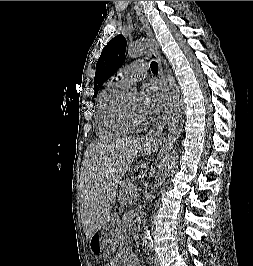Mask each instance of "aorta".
Wrapping results in <instances>:
<instances>
[{
    "instance_id": "1",
    "label": "aorta",
    "mask_w": 253,
    "mask_h": 266,
    "mask_svg": "<svg viewBox=\"0 0 253 266\" xmlns=\"http://www.w3.org/2000/svg\"><path fill=\"white\" fill-rule=\"evenodd\" d=\"M149 47L150 45L147 42L137 41L128 46L127 56L132 59L140 57L148 52ZM165 73L166 80L168 81V84L172 89L170 93V105L167 115L168 137L159 157L157 173L155 176L154 184L152 186L153 193H156L161 188L168 175L174 150V144L181 135L184 122V105L182 103L181 92L175 82L172 71L170 69H165ZM144 240L146 243L152 242V238L147 230V226Z\"/></svg>"
}]
</instances>
